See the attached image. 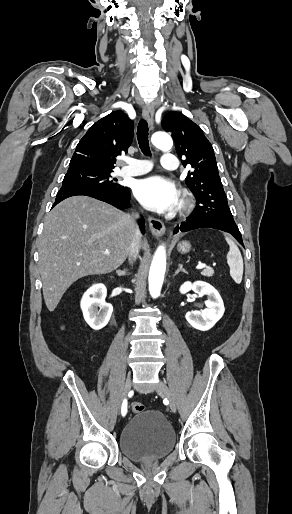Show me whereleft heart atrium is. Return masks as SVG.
Listing matches in <instances>:
<instances>
[{"label": "left heart atrium", "instance_id": "left-heart-atrium-1", "mask_svg": "<svg viewBox=\"0 0 292 514\" xmlns=\"http://www.w3.org/2000/svg\"><path fill=\"white\" fill-rule=\"evenodd\" d=\"M134 195L144 207L158 212L168 211L179 202V194L173 183L159 175L139 180Z\"/></svg>", "mask_w": 292, "mask_h": 514}]
</instances>
